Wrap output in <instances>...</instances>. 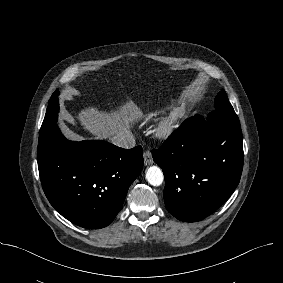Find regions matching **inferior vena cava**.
<instances>
[{
    "mask_svg": "<svg viewBox=\"0 0 283 283\" xmlns=\"http://www.w3.org/2000/svg\"><path fill=\"white\" fill-rule=\"evenodd\" d=\"M110 139L114 145L125 149H130L135 146L134 135L129 130L121 131L113 135Z\"/></svg>",
    "mask_w": 283,
    "mask_h": 283,
    "instance_id": "1",
    "label": "inferior vena cava"
}]
</instances>
